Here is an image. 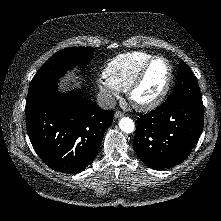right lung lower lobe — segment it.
<instances>
[{
    "mask_svg": "<svg viewBox=\"0 0 221 221\" xmlns=\"http://www.w3.org/2000/svg\"><path fill=\"white\" fill-rule=\"evenodd\" d=\"M57 86L58 81L26 101L27 132L47 166L72 174L94 160L114 112L102 110L79 90L64 94Z\"/></svg>",
    "mask_w": 221,
    "mask_h": 221,
    "instance_id": "98d812e1",
    "label": "right lung lower lobe"
}]
</instances>
